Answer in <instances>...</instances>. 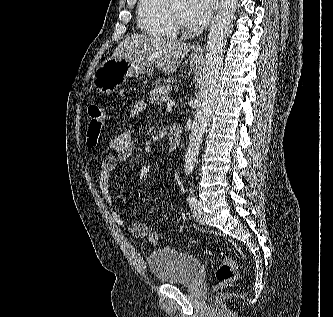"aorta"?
Segmentation results:
<instances>
[{
  "label": "aorta",
  "instance_id": "762f6f07",
  "mask_svg": "<svg viewBox=\"0 0 333 317\" xmlns=\"http://www.w3.org/2000/svg\"><path fill=\"white\" fill-rule=\"evenodd\" d=\"M237 4L238 0H221L209 30L206 45L204 91L200 106L195 111L189 136L184 165L186 175L191 174L194 169L203 133L217 104L221 87L223 53Z\"/></svg>",
  "mask_w": 333,
  "mask_h": 317
}]
</instances>
